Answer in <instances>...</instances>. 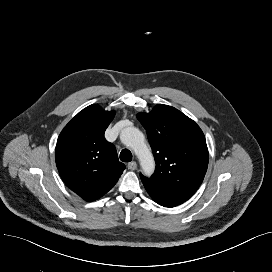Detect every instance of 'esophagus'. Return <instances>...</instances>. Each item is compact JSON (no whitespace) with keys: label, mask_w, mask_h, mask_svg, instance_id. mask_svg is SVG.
Returning <instances> with one entry per match:
<instances>
[{"label":"esophagus","mask_w":272,"mask_h":272,"mask_svg":"<svg viewBox=\"0 0 272 272\" xmlns=\"http://www.w3.org/2000/svg\"><path fill=\"white\" fill-rule=\"evenodd\" d=\"M128 169H130V170H136V168H137V163L136 162H134V161H132V162H130V163H128Z\"/></svg>","instance_id":"esophagus-1"}]
</instances>
